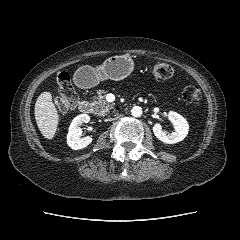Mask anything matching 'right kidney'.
I'll return each instance as SVG.
<instances>
[{
    "label": "right kidney",
    "mask_w": 240,
    "mask_h": 240,
    "mask_svg": "<svg viewBox=\"0 0 240 240\" xmlns=\"http://www.w3.org/2000/svg\"><path fill=\"white\" fill-rule=\"evenodd\" d=\"M89 121L90 116L87 114H80L72 120L67 134V144L70 148L79 150L91 144L93 140L92 137L87 136L81 138L82 129L79 128L82 123H88Z\"/></svg>",
    "instance_id": "right-kidney-1"
}]
</instances>
